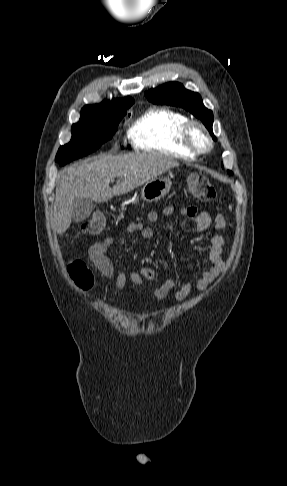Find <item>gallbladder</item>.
Listing matches in <instances>:
<instances>
[{
	"label": "gallbladder",
	"mask_w": 287,
	"mask_h": 486,
	"mask_svg": "<svg viewBox=\"0 0 287 486\" xmlns=\"http://www.w3.org/2000/svg\"><path fill=\"white\" fill-rule=\"evenodd\" d=\"M95 203L88 197H77L72 204V218L79 223L87 219L95 209Z\"/></svg>",
	"instance_id": "gallbladder-1"
}]
</instances>
